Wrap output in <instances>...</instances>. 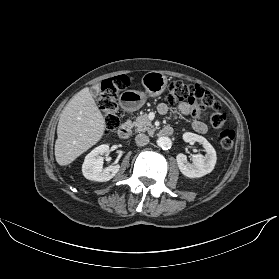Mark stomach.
<instances>
[{"label": "stomach", "mask_w": 279, "mask_h": 279, "mask_svg": "<svg viewBox=\"0 0 279 279\" xmlns=\"http://www.w3.org/2000/svg\"><path fill=\"white\" fill-rule=\"evenodd\" d=\"M141 83L145 88V92L127 90L120 95V105L124 110L134 112L140 109L148 97H156L163 93L168 81L163 73L150 71L142 77Z\"/></svg>", "instance_id": "0dacf381"}]
</instances>
